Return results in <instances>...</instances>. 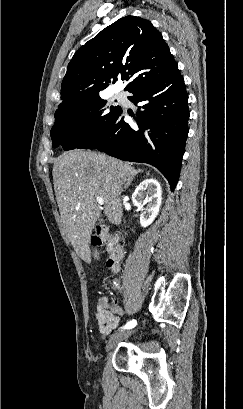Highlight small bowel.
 Wrapping results in <instances>:
<instances>
[{
  "instance_id": "c3829d8e",
  "label": "small bowel",
  "mask_w": 243,
  "mask_h": 409,
  "mask_svg": "<svg viewBox=\"0 0 243 409\" xmlns=\"http://www.w3.org/2000/svg\"><path fill=\"white\" fill-rule=\"evenodd\" d=\"M122 315L123 311L111 303L108 297L99 299L95 317L98 322V330L103 338L118 327Z\"/></svg>"
}]
</instances>
